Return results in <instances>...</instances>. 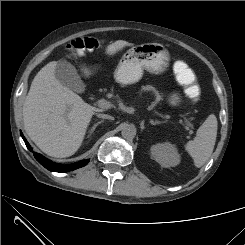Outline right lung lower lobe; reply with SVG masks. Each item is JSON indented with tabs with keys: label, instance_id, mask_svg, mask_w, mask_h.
Returning a JSON list of instances; mask_svg holds the SVG:
<instances>
[{
	"label": "right lung lower lobe",
	"instance_id": "98d812e1",
	"mask_svg": "<svg viewBox=\"0 0 245 245\" xmlns=\"http://www.w3.org/2000/svg\"><path fill=\"white\" fill-rule=\"evenodd\" d=\"M21 135H22V133H21ZM22 138H23L27 148L30 151H32L31 146L29 145V143L27 142V140L25 139V137L23 135H22ZM33 154H34L36 160L41 165H43L45 168H47L48 170L55 171V172H62V173L81 168V167L85 166L89 161V160H83V161H79L77 163L63 165V164H58V163L52 162L51 160L43 157L41 154H38L36 152H33Z\"/></svg>",
	"mask_w": 245,
	"mask_h": 245
}]
</instances>
